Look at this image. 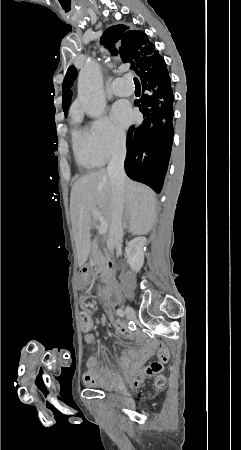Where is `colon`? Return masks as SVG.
I'll return each mask as SVG.
<instances>
[{
	"mask_svg": "<svg viewBox=\"0 0 241 450\" xmlns=\"http://www.w3.org/2000/svg\"><path fill=\"white\" fill-rule=\"evenodd\" d=\"M79 327L85 328L86 330H91L93 328V314L82 313L79 315ZM156 386L162 389L166 386V380L163 375L156 378Z\"/></svg>",
	"mask_w": 241,
	"mask_h": 450,
	"instance_id": "5ec220e1",
	"label": "colon"
}]
</instances>
